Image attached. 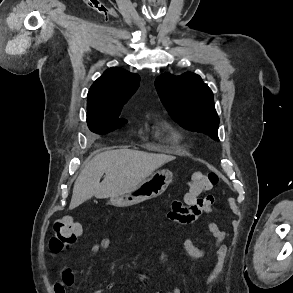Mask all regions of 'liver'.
<instances>
[{
    "label": "liver",
    "mask_w": 293,
    "mask_h": 293,
    "mask_svg": "<svg viewBox=\"0 0 293 293\" xmlns=\"http://www.w3.org/2000/svg\"><path fill=\"white\" fill-rule=\"evenodd\" d=\"M174 156L120 149L100 153L85 162L74 187L69 208L95 196L111 198L136 187ZM105 174L104 180L100 179Z\"/></svg>",
    "instance_id": "liver-1"
}]
</instances>
